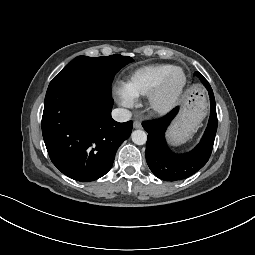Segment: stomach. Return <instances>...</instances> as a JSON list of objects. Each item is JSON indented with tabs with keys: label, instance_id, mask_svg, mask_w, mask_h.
I'll use <instances>...</instances> for the list:
<instances>
[{
	"label": "stomach",
	"instance_id": "stomach-1",
	"mask_svg": "<svg viewBox=\"0 0 255 255\" xmlns=\"http://www.w3.org/2000/svg\"><path fill=\"white\" fill-rule=\"evenodd\" d=\"M206 98L198 86L188 89L182 100V110L168 130L167 136L173 146L189 140L206 113Z\"/></svg>",
	"mask_w": 255,
	"mask_h": 255
}]
</instances>
